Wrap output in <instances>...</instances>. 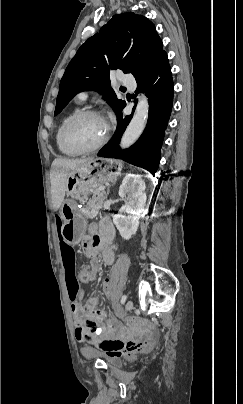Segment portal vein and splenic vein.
<instances>
[{
	"instance_id": "obj_1",
	"label": "portal vein and splenic vein",
	"mask_w": 243,
	"mask_h": 404,
	"mask_svg": "<svg viewBox=\"0 0 243 404\" xmlns=\"http://www.w3.org/2000/svg\"><path fill=\"white\" fill-rule=\"evenodd\" d=\"M98 190H105V186H101V188H98Z\"/></svg>"
}]
</instances>
